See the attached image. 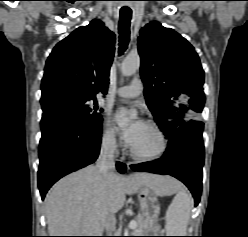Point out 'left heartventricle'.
I'll list each match as a JSON object with an SVG mask.
<instances>
[{
    "mask_svg": "<svg viewBox=\"0 0 248 237\" xmlns=\"http://www.w3.org/2000/svg\"><path fill=\"white\" fill-rule=\"evenodd\" d=\"M131 147L139 153L150 154L159 148V140L155 132L145 125Z\"/></svg>",
    "mask_w": 248,
    "mask_h": 237,
    "instance_id": "b2bd125f",
    "label": "left heart ventricle"
}]
</instances>
